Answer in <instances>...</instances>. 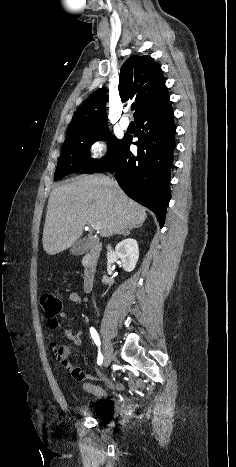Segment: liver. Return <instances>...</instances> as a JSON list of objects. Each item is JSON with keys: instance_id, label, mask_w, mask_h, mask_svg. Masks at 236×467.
Wrapping results in <instances>:
<instances>
[{"instance_id": "liver-1", "label": "liver", "mask_w": 236, "mask_h": 467, "mask_svg": "<svg viewBox=\"0 0 236 467\" xmlns=\"http://www.w3.org/2000/svg\"><path fill=\"white\" fill-rule=\"evenodd\" d=\"M146 209L134 202L105 175L81 176L54 188L49 196L43 229V248L55 255L82 235L84 226L101 223L100 235L141 226Z\"/></svg>"}]
</instances>
